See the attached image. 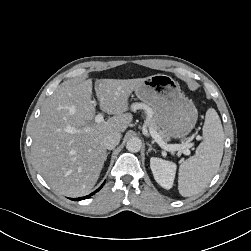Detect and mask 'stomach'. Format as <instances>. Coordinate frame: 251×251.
Here are the masks:
<instances>
[{"label": "stomach", "mask_w": 251, "mask_h": 251, "mask_svg": "<svg viewBox=\"0 0 251 251\" xmlns=\"http://www.w3.org/2000/svg\"><path fill=\"white\" fill-rule=\"evenodd\" d=\"M134 91L139 100L153 109L159 127L169 137L183 139L194 128L198 111L172 77L149 76Z\"/></svg>", "instance_id": "1"}]
</instances>
